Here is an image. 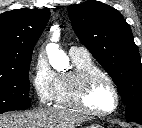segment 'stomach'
<instances>
[{
  "label": "stomach",
  "mask_w": 142,
  "mask_h": 128,
  "mask_svg": "<svg viewBox=\"0 0 142 128\" xmlns=\"http://www.w3.org/2000/svg\"><path fill=\"white\" fill-rule=\"evenodd\" d=\"M87 128H103V127L98 124H93V125L88 126Z\"/></svg>",
  "instance_id": "obj_1"
}]
</instances>
